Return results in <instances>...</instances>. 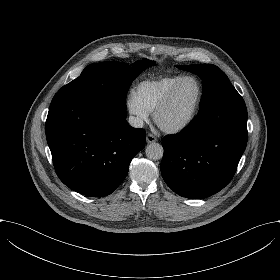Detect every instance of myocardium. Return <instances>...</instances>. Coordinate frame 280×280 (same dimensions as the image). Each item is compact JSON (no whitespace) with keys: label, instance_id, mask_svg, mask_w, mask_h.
Masks as SVG:
<instances>
[{"label":"myocardium","instance_id":"myocardium-1","mask_svg":"<svg viewBox=\"0 0 280 280\" xmlns=\"http://www.w3.org/2000/svg\"><path fill=\"white\" fill-rule=\"evenodd\" d=\"M195 80L200 87V94H199V99L197 102V105L195 107V109L193 110V112L183 121L180 122H176L170 125H165L161 122V116L162 114L170 107L172 100L175 96V94L178 92V90L181 88V86L183 85V83L187 80ZM204 97H205V86L203 84V82L196 76L193 75H188V76H184L178 83L177 85H175L167 94V96L165 97V99L163 100V102L156 108V110L154 111V119L155 122L157 123V125L166 133H170V134H174V133H178L182 130H184L185 128H187L188 126H190L193 121L196 119L203 101H204Z\"/></svg>","mask_w":280,"mask_h":280}]
</instances>
